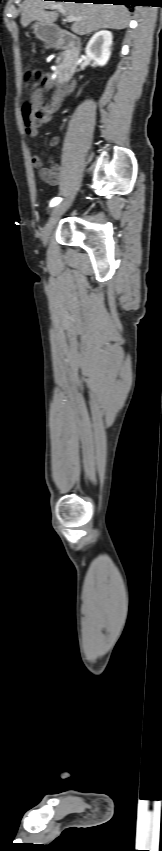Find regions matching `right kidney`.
Listing matches in <instances>:
<instances>
[{"mask_svg":"<svg viewBox=\"0 0 162 851\" xmlns=\"http://www.w3.org/2000/svg\"><path fill=\"white\" fill-rule=\"evenodd\" d=\"M112 38V33L107 30L95 33L86 46L87 57L97 65L104 66L111 55Z\"/></svg>","mask_w":162,"mask_h":851,"instance_id":"1","label":"right kidney"}]
</instances>
